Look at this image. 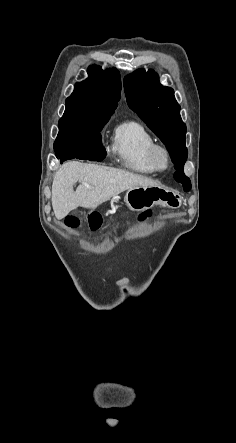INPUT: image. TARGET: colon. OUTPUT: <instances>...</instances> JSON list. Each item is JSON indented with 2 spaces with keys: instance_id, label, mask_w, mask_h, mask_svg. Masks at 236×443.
<instances>
[{
  "instance_id": "colon-1",
  "label": "colon",
  "mask_w": 236,
  "mask_h": 443,
  "mask_svg": "<svg viewBox=\"0 0 236 443\" xmlns=\"http://www.w3.org/2000/svg\"><path fill=\"white\" fill-rule=\"evenodd\" d=\"M151 216V212H144L139 216V220H146ZM86 221L90 226H97L99 223V217L94 212L81 213L78 210L72 211L65 217L66 224L71 228H76L80 225L81 221Z\"/></svg>"
}]
</instances>
